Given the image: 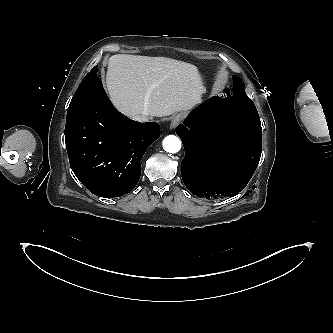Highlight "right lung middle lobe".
<instances>
[{"label":"right lung middle lobe","mask_w":333,"mask_h":333,"mask_svg":"<svg viewBox=\"0 0 333 333\" xmlns=\"http://www.w3.org/2000/svg\"><path fill=\"white\" fill-rule=\"evenodd\" d=\"M101 83L100 78L97 77V66H95L82 80L81 84L76 90L71 103L68 108L67 115L71 112L82 108L84 106V101L90 95L91 91Z\"/></svg>","instance_id":"obj_1"}]
</instances>
